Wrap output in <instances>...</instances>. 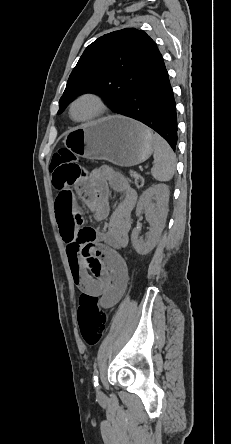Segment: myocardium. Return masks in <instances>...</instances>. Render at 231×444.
<instances>
[{
  "instance_id": "obj_1",
  "label": "myocardium",
  "mask_w": 231,
  "mask_h": 444,
  "mask_svg": "<svg viewBox=\"0 0 231 444\" xmlns=\"http://www.w3.org/2000/svg\"><path fill=\"white\" fill-rule=\"evenodd\" d=\"M83 98L93 99L97 104V111L93 115H91L90 117L78 119V118H75L73 115V108H74L75 104ZM106 111H107V105H106L104 99L102 98V96H100L96 92H83V93L79 94L78 96H76L72 100V102L70 103V106H69L70 118L73 121L78 122V123H87V122L96 121V120L100 119L101 117H103L105 115Z\"/></svg>"
}]
</instances>
